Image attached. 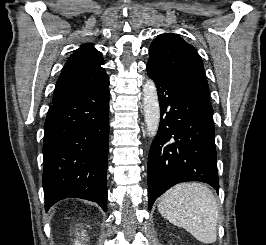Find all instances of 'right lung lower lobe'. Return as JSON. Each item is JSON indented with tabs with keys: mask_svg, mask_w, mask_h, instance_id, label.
Wrapping results in <instances>:
<instances>
[{
	"mask_svg": "<svg viewBox=\"0 0 266 245\" xmlns=\"http://www.w3.org/2000/svg\"><path fill=\"white\" fill-rule=\"evenodd\" d=\"M109 81L80 88L47 114L44 129L45 209L67 197L107 208Z\"/></svg>",
	"mask_w": 266,
	"mask_h": 245,
	"instance_id": "1",
	"label": "right lung lower lobe"
}]
</instances>
